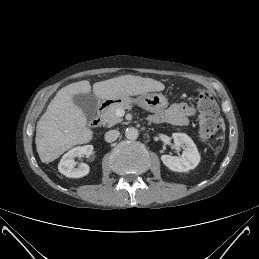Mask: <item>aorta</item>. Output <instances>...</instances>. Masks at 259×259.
I'll list each match as a JSON object with an SVG mask.
<instances>
[{"instance_id": "aorta-1", "label": "aorta", "mask_w": 259, "mask_h": 259, "mask_svg": "<svg viewBox=\"0 0 259 259\" xmlns=\"http://www.w3.org/2000/svg\"><path fill=\"white\" fill-rule=\"evenodd\" d=\"M125 136L127 139L129 140H135L138 138L139 136V133H138V130L134 127H129L126 129L125 131Z\"/></svg>"}]
</instances>
